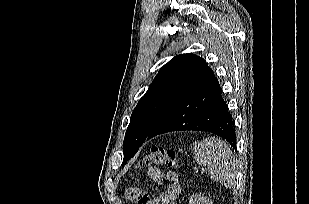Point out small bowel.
I'll return each mask as SVG.
<instances>
[{
	"label": "small bowel",
	"mask_w": 309,
	"mask_h": 204,
	"mask_svg": "<svg viewBox=\"0 0 309 204\" xmlns=\"http://www.w3.org/2000/svg\"><path fill=\"white\" fill-rule=\"evenodd\" d=\"M145 178L151 181L162 184L165 180L169 181V185L165 192L157 193L153 197L147 196V194L137 187H131L127 190V198L131 201L137 202L140 197H145L146 202L144 204H176L181 187L178 181L177 175L172 171L165 172L158 167H150L145 173Z\"/></svg>",
	"instance_id": "obj_1"
}]
</instances>
